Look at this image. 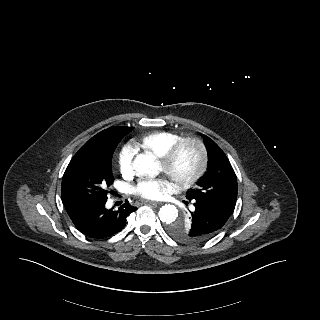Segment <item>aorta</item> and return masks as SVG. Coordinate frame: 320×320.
Masks as SVG:
<instances>
[{"label": "aorta", "instance_id": "1", "mask_svg": "<svg viewBox=\"0 0 320 320\" xmlns=\"http://www.w3.org/2000/svg\"><path fill=\"white\" fill-rule=\"evenodd\" d=\"M133 168L138 175L159 174V164L152 155H137L133 161ZM158 215L163 223L171 224L178 217V209L174 205L166 204L160 208Z\"/></svg>", "mask_w": 320, "mask_h": 320}]
</instances>
